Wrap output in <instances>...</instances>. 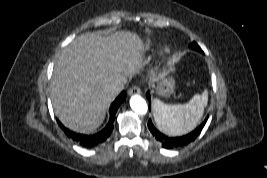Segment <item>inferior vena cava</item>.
Returning <instances> with one entry per match:
<instances>
[{
    "label": "inferior vena cava",
    "instance_id": "inferior-vena-cava-1",
    "mask_svg": "<svg viewBox=\"0 0 267 178\" xmlns=\"http://www.w3.org/2000/svg\"><path fill=\"white\" fill-rule=\"evenodd\" d=\"M124 87V84L121 82H115L112 83L108 86V92L111 93L112 95L118 94Z\"/></svg>",
    "mask_w": 267,
    "mask_h": 178
}]
</instances>
